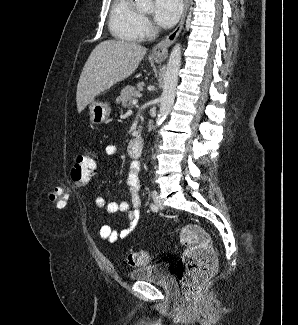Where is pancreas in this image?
I'll list each match as a JSON object with an SVG mask.
<instances>
[{
  "mask_svg": "<svg viewBox=\"0 0 298 325\" xmlns=\"http://www.w3.org/2000/svg\"><path fill=\"white\" fill-rule=\"evenodd\" d=\"M136 88H138V90H136ZM140 90H142L141 82H138L137 86H131V84H129V86L122 88L115 102H117V104H121V106H124V108H127V106H131L132 100L136 98Z\"/></svg>",
  "mask_w": 298,
  "mask_h": 325,
  "instance_id": "pancreas-1",
  "label": "pancreas"
}]
</instances>
